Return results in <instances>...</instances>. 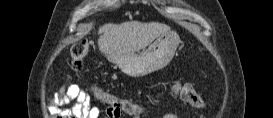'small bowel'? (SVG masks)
<instances>
[{
	"label": "small bowel",
	"mask_w": 273,
	"mask_h": 118,
	"mask_svg": "<svg viewBox=\"0 0 273 118\" xmlns=\"http://www.w3.org/2000/svg\"><path fill=\"white\" fill-rule=\"evenodd\" d=\"M181 98L183 101L192 105L188 97L181 96ZM62 101L72 102L70 109L58 111V114L62 118H99L101 116V108L97 105H93L90 96L78 85H71L66 95L62 98ZM163 106H167V104H163ZM105 112L108 118H119L121 115L120 111L109 104L106 106ZM165 118H178V116L170 113L167 114Z\"/></svg>",
	"instance_id": "small-bowel-1"
}]
</instances>
